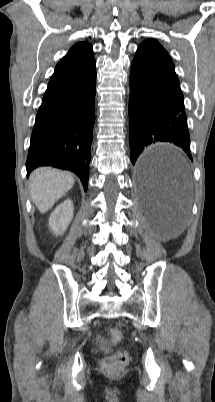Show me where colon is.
Instances as JSON below:
<instances>
[{"mask_svg": "<svg viewBox=\"0 0 215 402\" xmlns=\"http://www.w3.org/2000/svg\"><path fill=\"white\" fill-rule=\"evenodd\" d=\"M122 338V333L117 328H111L108 331V341L111 343H118ZM128 356L124 351H116L106 357L103 361V367L109 372H116L121 370L127 363Z\"/></svg>", "mask_w": 215, "mask_h": 402, "instance_id": "colon-1", "label": "colon"}]
</instances>
